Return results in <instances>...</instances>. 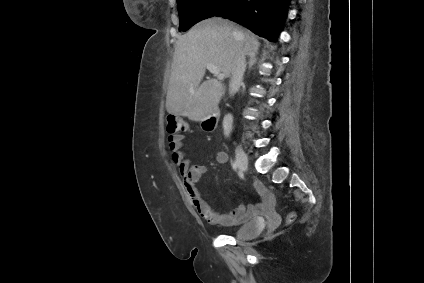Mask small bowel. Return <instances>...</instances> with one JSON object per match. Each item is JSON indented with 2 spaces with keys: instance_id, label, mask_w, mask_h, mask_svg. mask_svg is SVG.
<instances>
[{
  "instance_id": "obj_1",
  "label": "small bowel",
  "mask_w": 424,
  "mask_h": 283,
  "mask_svg": "<svg viewBox=\"0 0 424 283\" xmlns=\"http://www.w3.org/2000/svg\"><path fill=\"white\" fill-rule=\"evenodd\" d=\"M184 143L185 136L182 134H171L168 136V147L172 153V160L178 167L188 198L200 217L209 224L238 225L251 217L258 208L266 209L273 205L274 198L272 194L261 182H255V188L262 198L258 206L240 204L237 208L224 214L213 210L196 187L197 182L205 175L207 168L203 165L192 164L182 150ZM228 160L229 156L225 151H220L216 154L217 163L226 164Z\"/></svg>"
}]
</instances>
